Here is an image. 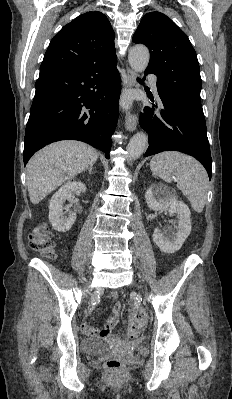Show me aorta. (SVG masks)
Wrapping results in <instances>:
<instances>
[{"mask_svg": "<svg viewBox=\"0 0 232 399\" xmlns=\"http://www.w3.org/2000/svg\"><path fill=\"white\" fill-rule=\"evenodd\" d=\"M149 58H150L149 50L147 49V47L143 45L133 46L130 49L128 55V61L131 68L135 72L139 73L145 71L149 63ZM147 146H148L147 135L143 132L135 134L131 138L127 146L128 157L131 160L138 159L146 150Z\"/></svg>", "mask_w": 232, "mask_h": 399, "instance_id": "762f6f07", "label": "aorta"}]
</instances>
